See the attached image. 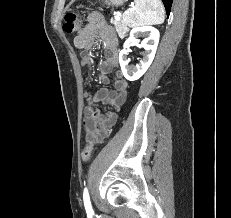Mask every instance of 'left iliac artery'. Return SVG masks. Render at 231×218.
Masks as SVG:
<instances>
[{
  "instance_id": "44dca946",
  "label": "left iliac artery",
  "mask_w": 231,
  "mask_h": 218,
  "mask_svg": "<svg viewBox=\"0 0 231 218\" xmlns=\"http://www.w3.org/2000/svg\"><path fill=\"white\" fill-rule=\"evenodd\" d=\"M83 201H84V206H85L86 212L88 214H92L93 210H92V206H91V202H90L89 193H88L87 188L84 189Z\"/></svg>"
}]
</instances>
